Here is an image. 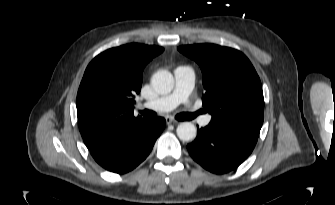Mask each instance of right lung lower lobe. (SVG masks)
Masks as SVG:
<instances>
[{
	"instance_id": "1",
	"label": "right lung lower lobe",
	"mask_w": 335,
	"mask_h": 205,
	"mask_svg": "<svg viewBox=\"0 0 335 205\" xmlns=\"http://www.w3.org/2000/svg\"><path fill=\"white\" fill-rule=\"evenodd\" d=\"M165 125V119L157 117L126 142L90 153L98 164L111 172H129L149 155Z\"/></svg>"
}]
</instances>
